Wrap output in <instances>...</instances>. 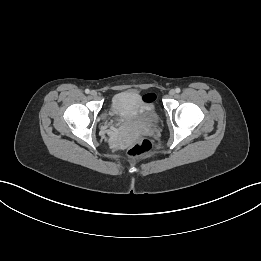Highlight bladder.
<instances>
[{"instance_id":"obj_1","label":"bladder","mask_w":261,"mask_h":261,"mask_svg":"<svg viewBox=\"0 0 261 261\" xmlns=\"http://www.w3.org/2000/svg\"><path fill=\"white\" fill-rule=\"evenodd\" d=\"M108 113L110 118L119 124L150 126L159 118L153 98L135 90H124L115 94L110 101Z\"/></svg>"}]
</instances>
